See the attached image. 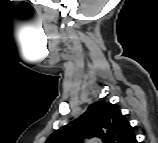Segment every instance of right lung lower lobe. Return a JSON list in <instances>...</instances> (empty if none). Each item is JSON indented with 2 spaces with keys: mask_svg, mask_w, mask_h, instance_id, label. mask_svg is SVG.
I'll return each instance as SVG.
<instances>
[{
  "mask_svg": "<svg viewBox=\"0 0 158 143\" xmlns=\"http://www.w3.org/2000/svg\"><path fill=\"white\" fill-rule=\"evenodd\" d=\"M133 143H136V139L133 141Z\"/></svg>",
  "mask_w": 158,
  "mask_h": 143,
  "instance_id": "98d812e1",
  "label": "right lung lower lobe"
}]
</instances>
